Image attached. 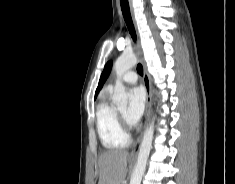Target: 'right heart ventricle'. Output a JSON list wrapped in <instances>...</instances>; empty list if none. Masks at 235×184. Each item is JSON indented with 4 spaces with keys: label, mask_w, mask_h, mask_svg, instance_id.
I'll list each match as a JSON object with an SVG mask.
<instances>
[{
    "label": "right heart ventricle",
    "mask_w": 235,
    "mask_h": 184,
    "mask_svg": "<svg viewBox=\"0 0 235 184\" xmlns=\"http://www.w3.org/2000/svg\"><path fill=\"white\" fill-rule=\"evenodd\" d=\"M95 121L99 139L107 154L122 151L130 144V136L124 131L117 112L106 98L97 105Z\"/></svg>",
    "instance_id": "right-heart-ventricle-1"
}]
</instances>
